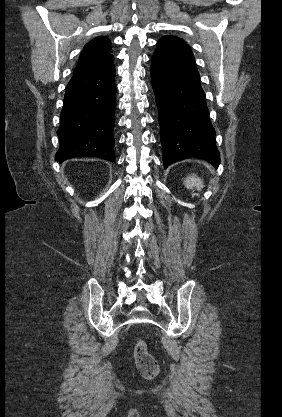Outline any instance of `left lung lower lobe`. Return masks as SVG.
I'll return each instance as SVG.
<instances>
[{
  "label": "left lung lower lobe",
  "mask_w": 282,
  "mask_h": 417,
  "mask_svg": "<svg viewBox=\"0 0 282 417\" xmlns=\"http://www.w3.org/2000/svg\"><path fill=\"white\" fill-rule=\"evenodd\" d=\"M152 87L158 107L163 162L195 157L219 166L215 130L190 47L159 40L151 58Z\"/></svg>",
  "instance_id": "left-lung-lower-lobe-1"
}]
</instances>
